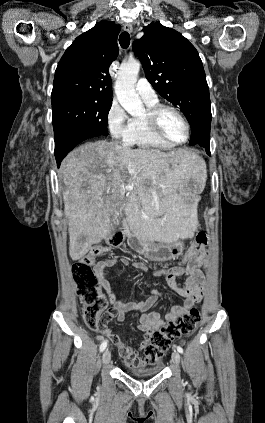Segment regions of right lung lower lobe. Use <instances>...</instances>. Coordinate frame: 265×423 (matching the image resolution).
Listing matches in <instances>:
<instances>
[{
    "mask_svg": "<svg viewBox=\"0 0 265 423\" xmlns=\"http://www.w3.org/2000/svg\"><path fill=\"white\" fill-rule=\"evenodd\" d=\"M54 136L55 153L61 152L62 154H67L80 142L88 138L99 136V134L80 127L66 126L54 132ZM61 161H57L58 166Z\"/></svg>",
    "mask_w": 265,
    "mask_h": 423,
    "instance_id": "1",
    "label": "right lung lower lobe"
}]
</instances>
